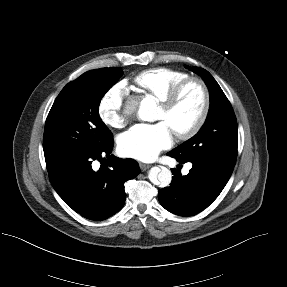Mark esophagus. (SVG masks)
I'll return each instance as SVG.
<instances>
[{
  "mask_svg": "<svg viewBox=\"0 0 287 287\" xmlns=\"http://www.w3.org/2000/svg\"><path fill=\"white\" fill-rule=\"evenodd\" d=\"M139 166H140L142 171H145L151 167V165L145 164V163H139Z\"/></svg>",
  "mask_w": 287,
  "mask_h": 287,
  "instance_id": "esophagus-1",
  "label": "esophagus"
}]
</instances>
